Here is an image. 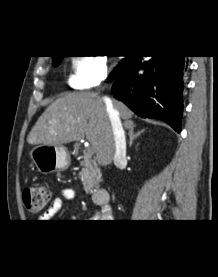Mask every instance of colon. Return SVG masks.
Returning a JSON list of instances; mask_svg holds the SVG:
<instances>
[{
  "mask_svg": "<svg viewBox=\"0 0 218 277\" xmlns=\"http://www.w3.org/2000/svg\"><path fill=\"white\" fill-rule=\"evenodd\" d=\"M51 197L50 189L46 186L28 187L23 192V202L32 213L42 211Z\"/></svg>",
  "mask_w": 218,
  "mask_h": 277,
  "instance_id": "1",
  "label": "colon"
}]
</instances>
